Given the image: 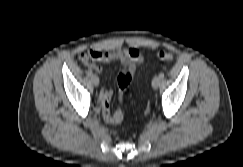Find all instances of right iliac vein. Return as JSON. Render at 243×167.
<instances>
[{"instance_id": "obj_1", "label": "right iliac vein", "mask_w": 243, "mask_h": 167, "mask_svg": "<svg viewBox=\"0 0 243 167\" xmlns=\"http://www.w3.org/2000/svg\"><path fill=\"white\" fill-rule=\"evenodd\" d=\"M91 80H92L93 85H95V86L99 85V78L96 75H92Z\"/></svg>"}]
</instances>
